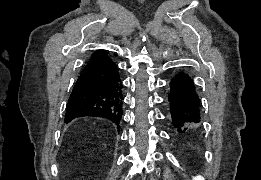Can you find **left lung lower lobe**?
Returning <instances> with one entry per match:
<instances>
[{"label": "left lung lower lobe", "mask_w": 261, "mask_h": 180, "mask_svg": "<svg viewBox=\"0 0 261 180\" xmlns=\"http://www.w3.org/2000/svg\"><path fill=\"white\" fill-rule=\"evenodd\" d=\"M170 112L175 130L184 133L201 122V103L191 77L178 72L170 81Z\"/></svg>", "instance_id": "0a47b994"}]
</instances>
